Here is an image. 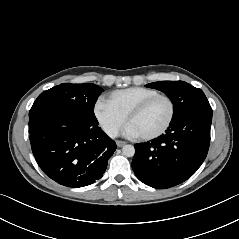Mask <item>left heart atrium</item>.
<instances>
[{
    "instance_id": "left-heart-atrium-1",
    "label": "left heart atrium",
    "mask_w": 239,
    "mask_h": 239,
    "mask_svg": "<svg viewBox=\"0 0 239 239\" xmlns=\"http://www.w3.org/2000/svg\"><path fill=\"white\" fill-rule=\"evenodd\" d=\"M124 134L128 137H139V134L137 133V131L130 125L128 124L124 130Z\"/></svg>"
}]
</instances>
